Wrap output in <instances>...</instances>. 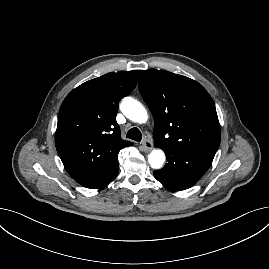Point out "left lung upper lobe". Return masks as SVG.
Returning a JSON list of instances; mask_svg holds the SVG:
<instances>
[{
	"mask_svg": "<svg viewBox=\"0 0 269 269\" xmlns=\"http://www.w3.org/2000/svg\"><path fill=\"white\" fill-rule=\"evenodd\" d=\"M139 91L154 117V145L216 153L221 131L215 104L198 82L168 71L140 72Z\"/></svg>",
	"mask_w": 269,
	"mask_h": 269,
	"instance_id": "obj_1",
	"label": "left lung upper lobe"
}]
</instances>
